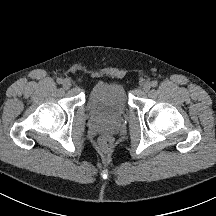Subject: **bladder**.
<instances>
[{
  "instance_id": "1",
  "label": "bladder",
  "mask_w": 216,
  "mask_h": 216,
  "mask_svg": "<svg viewBox=\"0 0 216 216\" xmlns=\"http://www.w3.org/2000/svg\"><path fill=\"white\" fill-rule=\"evenodd\" d=\"M87 111L98 120L117 122L128 111L124 88L116 82H99L90 90Z\"/></svg>"
}]
</instances>
